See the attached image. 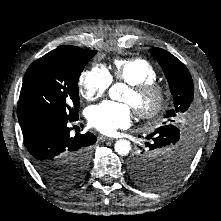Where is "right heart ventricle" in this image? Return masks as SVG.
Returning a JSON list of instances; mask_svg holds the SVG:
<instances>
[{
	"label": "right heart ventricle",
	"mask_w": 221,
	"mask_h": 221,
	"mask_svg": "<svg viewBox=\"0 0 221 221\" xmlns=\"http://www.w3.org/2000/svg\"><path fill=\"white\" fill-rule=\"evenodd\" d=\"M112 75L115 79L128 85H138L153 82L157 78V71L146 59L140 57L116 59L112 66Z\"/></svg>",
	"instance_id": "right-heart-ventricle-1"
}]
</instances>
